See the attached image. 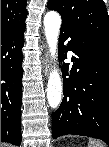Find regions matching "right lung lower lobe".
<instances>
[{
  "label": "right lung lower lobe",
  "instance_id": "obj_1",
  "mask_svg": "<svg viewBox=\"0 0 109 147\" xmlns=\"http://www.w3.org/2000/svg\"><path fill=\"white\" fill-rule=\"evenodd\" d=\"M25 25L1 36V141L21 144V103Z\"/></svg>",
  "mask_w": 109,
  "mask_h": 147
}]
</instances>
